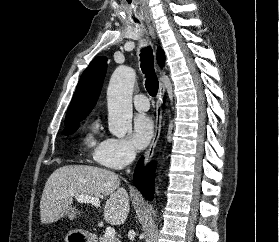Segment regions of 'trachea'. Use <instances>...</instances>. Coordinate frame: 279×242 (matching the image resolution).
Returning <instances> with one entry per match:
<instances>
[{
	"instance_id": "trachea-1",
	"label": "trachea",
	"mask_w": 279,
	"mask_h": 242,
	"mask_svg": "<svg viewBox=\"0 0 279 242\" xmlns=\"http://www.w3.org/2000/svg\"><path fill=\"white\" fill-rule=\"evenodd\" d=\"M140 61L141 69L146 77L145 88L151 96H156L159 82L155 74L153 51L150 46L141 50Z\"/></svg>"
}]
</instances>
